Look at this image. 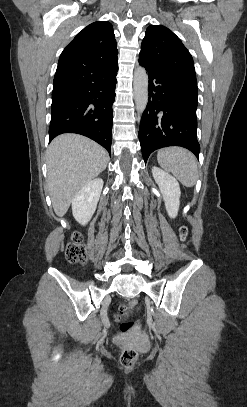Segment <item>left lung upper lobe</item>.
<instances>
[{
  "label": "left lung upper lobe",
  "mask_w": 247,
  "mask_h": 407,
  "mask_svg": "<svg viewBox=\"0 0 247 407\" xmlns=\"http://www.w3.org/2000/svg\"><path fill=\"white\" fill-rule=\"evenodd\" d=\"M139 57L157 69L196 77L191 54L181 40L162 25L147 28Z\"/></svg>",
  "instance_id": "left-lung-upper-lobe-1"
}]
</instances>
